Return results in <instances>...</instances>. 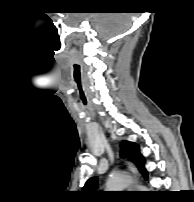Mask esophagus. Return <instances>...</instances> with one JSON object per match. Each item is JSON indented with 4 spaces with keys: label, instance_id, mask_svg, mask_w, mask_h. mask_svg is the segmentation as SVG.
<instances>
[{
    "label": "esophagus",
    "instance_id": "34e87169",
    "mask_svg": "<svg viewBox=\"0 0 194 202\" xmlns=\"http://www.w3.org/2000/svg\"><path fill=\"white\" fill-rule=\"evenodd\" d=\"M127 165H128V169L132 172L134 179L137 180V170L135 166L131 162H128Z\"/></svg>",
    "mask_w": 194,
    "mask_h": 202
}]
</instances>
